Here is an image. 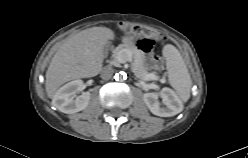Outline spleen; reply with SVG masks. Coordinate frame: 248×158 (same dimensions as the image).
I'll list each match as a JSON object with an SVG mask.
<instances>
[{"mask_svg": "<svg viewBox=\"0 0 248 158\" xmlns=\"http://www.w3.org/2000/svg\"><path fill=\"white\" fill-rule=\"evenodd\" d=\"M164 55L167 59L170 83L178 93L181 100L186 102L190 96L189 90L192 81L182 57L178 50L172 45H167L165 47Z\"/></svg>", "mask_w": 248, "mask_h": 158, "instance_id": "1", "label": "spleen"}]
</instances>
